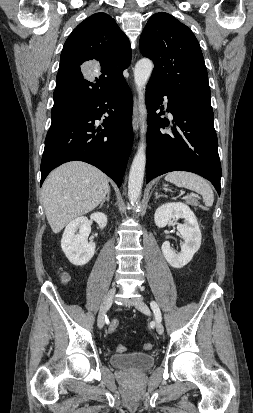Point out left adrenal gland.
Masks as SVG:
<instances>
[{
    "instance_id": "left-adrenal-gland-1",
    "label": "left adrenal gland",
    "mask_w": 253,
    "mask_h": 413,
    "mask_svg": "<svg viewBox=\"0 0 253 413\" xmlns=\"http://www.w3.org/2000/svg\"><path fill=\"white\" fill-rule=\"evenodd\" d=\"M160 197H166L164 194H159L158 192H155V199H158Z\"/></svg>"
}]
</instances>
